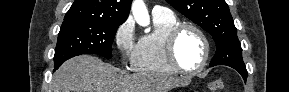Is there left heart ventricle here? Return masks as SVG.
I'll use <instances>...</instances> for the list:
<instances>
[{"mask_svg":"<svg viewBox=\"0 0 289 92\" xmlns=\"http://www.w3.org/2000/svg\"><path fill=\"white\" fill-rule=\"evenodd\" d=\"M204 56V44L199 35L185 30L176 44V57L179 64L188 70L197 68Z\"/></svg>","mask_w":289,"mask_h":92,"instance_id":"left-heart-ventricle-1","label":"left heart ventricle"}]
</instances>
